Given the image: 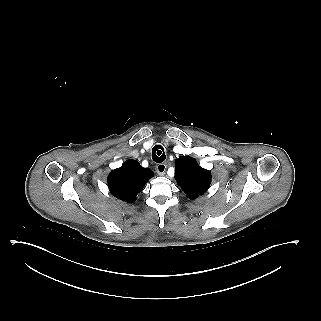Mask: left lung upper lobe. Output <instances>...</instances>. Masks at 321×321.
I'll list each match as a JSON object with an SVG mask.
<instances>
[{
    "instance_id": "left-lung-upper-lobe-1",
    "label": "left lung upper lobe",
    "mask_w": 321,
    "mask_h": 321,
    "mask_svg": "<svg viewBox=\"0 0 321 321\" xmlns=\"http://www.w3.org/2000/svg\"><path fill=\"white\" fill-rule=\"evenodd\" d=\"M175 179L190 199H196L210 186L211 172L201 168L195 159L182 156L175 165Z\"/></svg>"
}]
</instances>
